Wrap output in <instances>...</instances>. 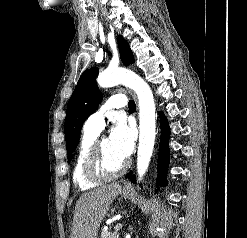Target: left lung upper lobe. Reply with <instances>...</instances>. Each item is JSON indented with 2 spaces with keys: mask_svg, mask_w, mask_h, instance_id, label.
Here are the masks:
<instances>
[{
  "mask_svg": "<svg viewBox=\"0 0 247 238\" xmlns=\"http://www.w3.org/2000/svg\"><path fill=\"white\" fill-rule=\"evenodd\" d=\"M117 42L122 62L125 65L134 63L133 53L126 40L119 35ZM97 73L98 69L93 67L81 75L67 105L64 130L69 161L72 159V153L78 145L84 121L97 109L102 100V95L96 83Z\"/></svg>",
  "mask_w": 247,
  "mask_h": 238,
  "instance_id": "5c2ea615",
  "label": "left lung upper lobe"
}]
</instances>
